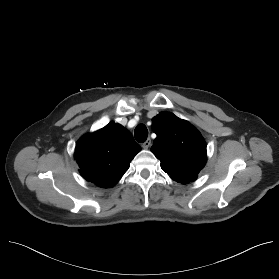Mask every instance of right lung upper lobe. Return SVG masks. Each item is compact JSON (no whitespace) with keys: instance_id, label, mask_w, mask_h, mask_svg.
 <instances>
[{"instance_id":"1","label":"right lung upper lobe","mask_w":279,"mask_h":279,"mask_svg":"<svg viewBox=\"0 0 279 279\" xmlns=\"http://www.w3.org/2000/svg\"><path fill=\"white\" fill-rule=\"evenodd\" d=\"M141 150L132 134L117 123L82 136L76 144L75 158L81 175L99 187H113L128 170Z\"/></svg>"}]
</instances>
